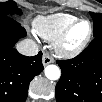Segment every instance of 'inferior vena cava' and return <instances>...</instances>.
Here are the masks:
<instances>
[{
  "mask_svg": "<svg viewBox=\"0 0 102 102\" xmlns=\"http://www.w3.org/2000/svg\"><path fill=\"white\" fill-rule=\"evenodd\" d=\"M19 53L25 56H35L38 54V45L31 39H24L16 46Z\"/></svg>",
  "mask_w": 102,
  "mask_h": 102,
  "instance_id": "1",
  "label": "inferior vena cava"
}]
</instances>
